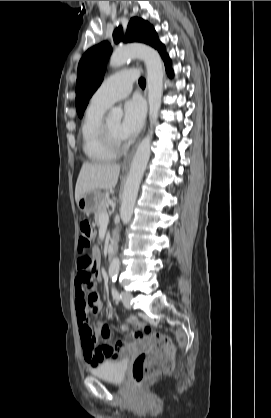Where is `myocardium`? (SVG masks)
<instances>
[{
	"label": "myocardium",
	"mask_w": 271,
	"mask_h": 418,
	"mask_svg": "<svg viewBox=\"0 0 271 418\" xmlns=\"http://www.w3.org/2000/svg\"><path fill=\"white\" fill-rule=\"evenodd\" d=\"M101 138L105 146L113 151L114 153H119L123 150V140L122 137H117L111 131L108 121L103 120L101 125Z\"/></svg>",
	"instance_id": "obj_1"
}]
</instances>
